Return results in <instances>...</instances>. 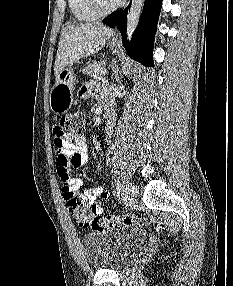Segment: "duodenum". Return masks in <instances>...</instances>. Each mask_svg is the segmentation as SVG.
I'll list each match as a JSON object with an SVG mask.
<instances>
[{
  "mask_svg": "<svg viewBox=\"0 0 233 286\" xmlns=\"http://www.w3.org/2000/svg\"><path fill=\"white\" fill-rule=\"evenodd\" d=\"M104 117H105V122L107 126L109 127L114 118L113 107L110 103L106 106Z\"/></svg>",
  "mask_w": 233,
  "mask_h": 286,
  "instance_id": "1",
  "label": "duodenum"
}]
</instances>
